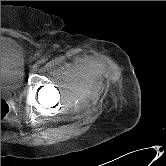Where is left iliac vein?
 Instances as JSON below:
<instances>
[{
    "label": "left iliac vein",
    "instance_id": "1",
    "mask_svg": "<svg viewBox=\"0 0 166 166\" xmlns=\"http://www.w3.org/2000/svg\"><path fill=\"white\" fill-rule=\"evenodd\" d=\"M38 68H39L38 64H34V65L32 66L33 71H37Z\"/></svg>",
    "mask_w": 166,
    "mask_h": 166
}]
</instances>
